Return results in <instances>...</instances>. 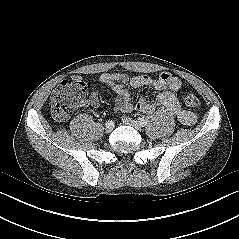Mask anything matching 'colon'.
Listing matches in <instances>:
<instances>
[{"instance_id":"obj_1","label":"colon","mask_w":239,"mask_h":239,"mask_svg":"<svg viewBox=\"0 0 239 239\" xmlns=\"http://www.w3.org/2000/svg\"><path fill=\"white\" fill-rule=\"evenodd\" d=\"M86 93V85L78 79L62 81L53 91L50 97L52 117L56 122L65 121L70 114L79 106ZM182 101L190 108L199 106V99L192 91L182 94Z\"/></svg>"}]
</instances>
